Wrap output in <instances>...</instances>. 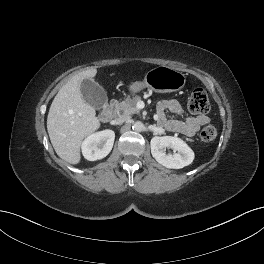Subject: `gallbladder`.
<instances>
[{"label": "gallbladder", "instance_id": "obj_1", "mask_svg": "<svg viewBox=\"0 0 264 264\" xmlns=\"http://www.w3.org/2000/svg\"><path fill=\"white\" fill-rule=\"evenodd\" d=\"M80 92L83 100L95 109H101L107 104L105 90L93 79H84L80 85Z\"/></svg>", "mask_w": 264, "mask_h": 264}]
</instances>
